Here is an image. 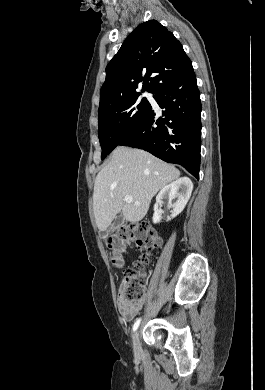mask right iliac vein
I'll list each match as a JSON object with an SVG mask.
<instances>
[{"label": "right iliac vein", "mask_w": 265, "mask_h": 390, "mask_svg": "<svg viewBox=\"0 0 265 390\" xmlns=\"http://www.w3.org/2000/svg\"><path fill=\"white\" fill-rule=\"evenodd\" d=\"M133 351L136 356H140L142 353V347L140 343V338H139V332L136 331L133 335Z\"/></svg>", "instance_id": "right-iliac-vein-1"}]
</instances>
